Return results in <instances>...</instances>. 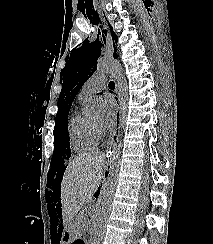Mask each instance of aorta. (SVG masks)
Masks as SVG:
<instances>
[{
    "instance_id": "aorta-1",
    "label": "aorta",
    "mask_w": 213,
    "mask_h": 244,
    "mask_svg": "<svg viewBox=\"0 0 213 244\" xmlns=\"http://www.w3.org/2000/svg\"><path fill=\"white\" fill-rule=\"evenodd\" d=\"M97 70L100 72L110 73L114 76L119 84V87L123 93V108H122V127L124 128L126 123V106L125 102L127 99L126 83L122 77V66L121 64L111 57H103L98 60ZM104 109L103 102L100 98L91 97L86 103V115L87 116H98L101 115ZM121 143L113 154L111 161L110 172L103 183L100 195L95 205L93 214L94 218V233H93V244H102L106 233V223L112 209L113 197L117 188V182L119 178L120 170V155H121Z\"/></svg>"
}]
</instances>
